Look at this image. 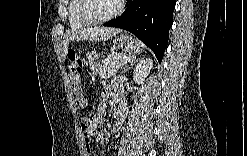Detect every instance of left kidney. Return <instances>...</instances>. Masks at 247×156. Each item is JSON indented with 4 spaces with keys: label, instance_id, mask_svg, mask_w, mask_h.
I'll return each instance as SVG.
<instances>
[{
    "label": "left kidney",
    "instance_id": "left-kidney-1",
    "mask_svg": "<svg viewBox=\"0 0 247 156\" xmlns=\"http://www.w3.org/2000/svg\"><path fill=\"white\" fill-rule=\"evenodd\" d=\"M153 67V60L151 58L144 59L136 66L133 71V80L137 84H142L145 78L150 73V70Z\"/></svg>",
    "mask_w": 247,
    "mask_h": 156
}]
</instances>
